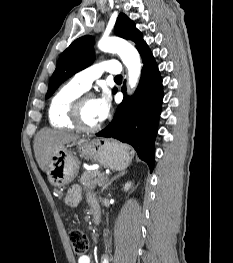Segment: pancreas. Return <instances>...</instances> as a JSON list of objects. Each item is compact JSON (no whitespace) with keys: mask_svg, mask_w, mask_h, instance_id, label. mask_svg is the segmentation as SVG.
Returning a JSON list of instances; mask_svg holds the SVG:
<instances>
[{"mask_svg":"<svg viewBox=\"0 0 233 263\" xmlns=\"http://www.w3.org/2000/svg\"><path fill=\"white\" fill-rule=\"evenodd\" d=\"M104 179L105 174L103 172H100L99 170H90L83 173L80 182L85 188L92 190L96 187L97 182H101Z\"/></svg>","mask_w":233,"mask_h":263,"instance_id":"obj_1","label":"pancreas"}]
</instances>
